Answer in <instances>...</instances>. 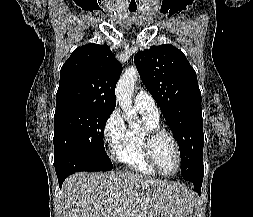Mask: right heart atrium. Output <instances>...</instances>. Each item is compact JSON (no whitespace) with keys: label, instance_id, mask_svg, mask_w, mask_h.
I'll use <instances>...</instances> for the list:
<instances>
[{"label":"right heart atrium","instance_id":"1","mask_svg":"<svg viewBox=\"0 0 253 217\" xmlns=\"http://www.w3.org/2000/svg\"><path fill=\"white\" fill-rule=\"evenodd\" d=\"M126 131L124 120L119 110H113L103 126V139L110 151H114Z\"/></svg>","mask_w":253,"mask_h":217}]
</instances>
